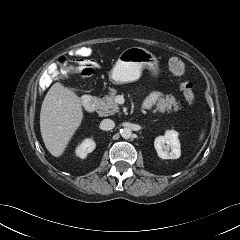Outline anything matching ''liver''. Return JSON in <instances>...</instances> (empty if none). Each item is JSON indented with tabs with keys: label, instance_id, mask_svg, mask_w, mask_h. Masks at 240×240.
<instances>
[{
	"label": "liver",
	"instance_id": "liver-1",
	"mask_svg": "<svg viewBox=\"0 0 240 240\" xmlns=\"http://www.w3.org/2000/svg\"><path fill=\"white\" fill-rule=\"evenodd\" d=\"M83 120L81 98L60 82L47 92L40 111V131L46 149L60 157Z\"/></svg>",
	"mask_w": 240,
	"mask_h": 240
}]
</instances>
